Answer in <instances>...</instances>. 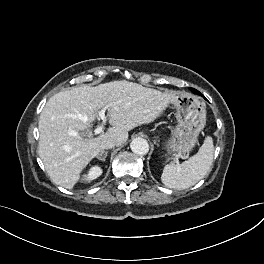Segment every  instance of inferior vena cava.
Listing matches in <instances>:
<instances>
[{
    "label": "inferior vena cava",
    "instance_id": "1",
    "mask_svg": "<svg viewBox=\"0 0 264 264\" xmlns=\"http://www.w3.org/2000/svg\"><path fill=\"white\" fill-rule=\"evenodd\" d=\"M117 145V142L113 139H106L103 140L100 144V149L104 150V149H111L113 147H115Z\"/></svg>",
    "mask_w": 264,
    "mask_h": 264
}]
</instances>
